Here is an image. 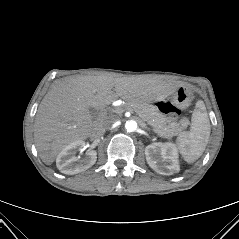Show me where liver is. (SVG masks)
<instances>
[{
	"mask_svg": "<svg viewBox=\"0 0 239 239\" xmlns=\"http://www.w3.org/2000/svg\"><path fill=\"white\" fill-rule=\"evenodd\" d=\"M162 81L141 76H72L55 81L39 105L34 141L42 161L50 165L69 144L83 141L100 124L90 108L100 111L118 98L150 103L167 92Z\"/></svg>",
	"mask_w": 239,
	"mask_h": 239,
	"instance_id": "6515ba94",
	"label": "liver"
}]
</instances>
